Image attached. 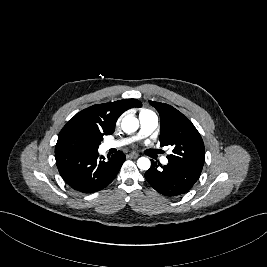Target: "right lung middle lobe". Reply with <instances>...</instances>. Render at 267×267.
<instances>
[{
	"mask_svg": "<svg viewBox=\"0 0 267 267\" xmlns=\"http://www.w3.org/2000/svg\"><path fill=\"white\" fill-rule=\"evenodd\" d=\"M102 140V135L80 130L61 131L55 146V154L96 151Z\"/></svg>",
	"mask_w": 267,
	"mask_h": 267,
	"instance_id": "right-lung-middle-lobe-1",
	"label": "right lung middle lobe"
}]
</instances>
